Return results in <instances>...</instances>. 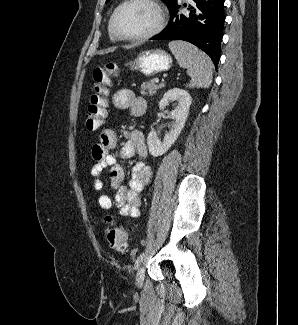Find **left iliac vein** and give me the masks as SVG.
<instances>
[{"mask_svg": "<svg viewBox=\"0 0 298 325\" xmlns=\"http://www.w3.org/2000/svg\"><path fill=\"white\" fill-rule=\"evenodd\" d=\"M144 268L140 267L136 273V286L141 287L144 281Z\"/></svg>", "mask_w": 298, "mask_h": 325, "instance_id": "obj_1", "label": "left iliac vein"}]
</instances>
